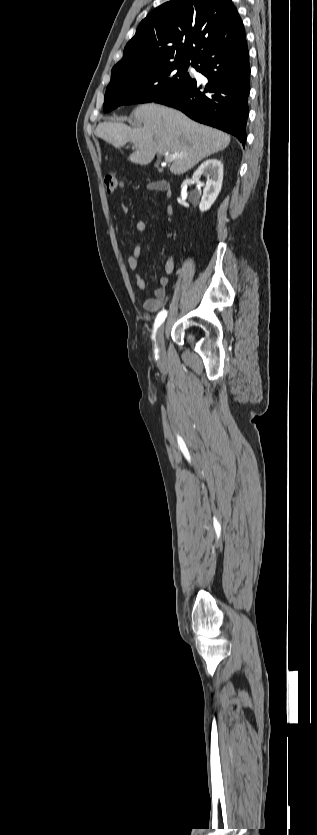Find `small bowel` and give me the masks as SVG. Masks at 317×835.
Instances as JSON below:
<instances>
[{"mask_svg": "<svg viewBox=\"0 0 317 835\" xmlns=\"http://www.w3.org/2000/svg\"><path fill=\"white\" fill-rule=\"evenodd\" d=\"M158 182H154V183L149 184L148 188L150 190L161 191L159 189ZM123 210L126 211V207H123ZM165 211L168 215H171L173 213V209H172L171 206H166ZM135 229H136L137 234L144 233V231L146 230V222L143 221V220L138 221L137 224H136ZM141 251H142L141 242L139 240H137L135 242L132 253L128 256L127 264H128L129 269L135 272V282H136V285H137L138 289L140 291H145L146 288H147L146 282L143 279V277L141 276V274L138 272V270L140 268ZM174 268H175V260H174L173 257H169L167 259L166 263H165V266H164V275L159 280V284H158L157 289L154 292V296L150 297V298H147L144 301L143 306H144L145 310H147L149 312H156L166 304V302H167L166 288H167V285L169 283V278L174 271Z\"/></svg>", "mask_w": 317, "mask_h": 835, "instance_id": "small-bowel-1", "label": "small bowel"}]
</instances>
